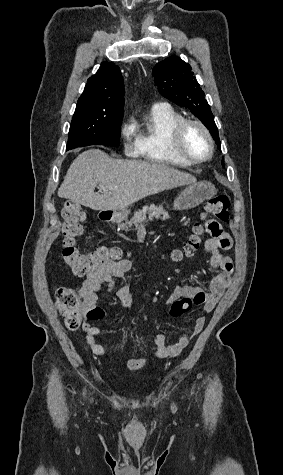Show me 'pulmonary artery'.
<instances>
[{"label":"pulmonary artery","instance_id":"1","mask_svg":"<svg viewBox=\"0 0 283 475\" xmlns=\"http://www.w3.org/2000/svg\"><path fill=\"white\" fill-rule=\"evenodd\" d=\"M158 104H164V103H156V104H154V105H158Z\"/></svg>","mask_w":283,"mask_h":475}]
</instances>
